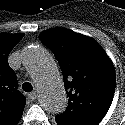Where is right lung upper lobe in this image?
Returning a JSON list of instances; mask_svg holds the SVG:
<instances>
[{"instance_id":"obj_1","label":"right lung upper lobe","mask_w":125,"mask_h":125,"mask_svg":"<svg viewBox=\"0 0 125 125\" xmlns=\"http://www.w3.org/2000/svg\"><path fill=\"white\" fill-rule=\"evenodd\" d=\"M24 34H0V125H11L23 113L26 100L17 89V77L8 64V55Z\"/></svg>"}]
</instances>
